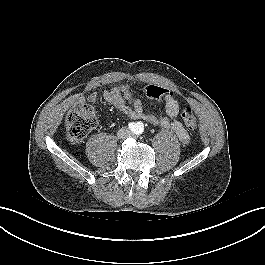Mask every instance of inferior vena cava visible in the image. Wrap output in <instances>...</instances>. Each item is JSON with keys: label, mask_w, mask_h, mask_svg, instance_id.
Instances as JSON below:
<instances>
[{"label": "inferior vena cava", "mask_w": 265, "mask_h": 265, "mask_svg": "<svg viewBox=\"0 0 265 265\" xmlns=\"http://www.w3.org/2000/svg\"><path fill=\"white\" fill-rule=\"evenodd\" d=\"M131 131L128 129V128H122L119 132H118V134H117V136L119 137V138H126V137H130L131 136Z\"/></svg>", "instance_id": "obj_1"}]
</instances>
